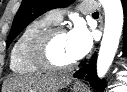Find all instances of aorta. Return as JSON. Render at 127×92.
Listing matches in <instances>:
<instances>
[{
	"instance_id": "762f6f07",
	"label": "aorta",
	"mask_w": 127,
	"mask_h": 92,
	"mask_svg": "<svg viewBox=\"0 0 127 92\" xmlns=\"http://www.w3.org/2000/svg\"><path fill=\"white\" fill-rule=\"evenodd\" d=\"M105 12V28L97 59V75L103 78L115 57L123 29V8L120 0H100Z\"/></svg>"
}]
</instances>
